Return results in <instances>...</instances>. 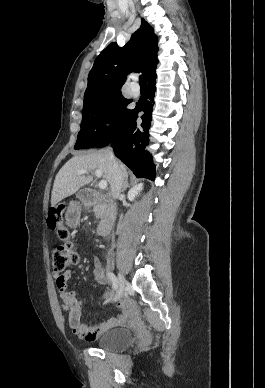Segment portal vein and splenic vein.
Here are the masks:
<instances>
[{"label":"portal vein and splenic vein","mask_w":265,"mask_h":388,"mask_svg":"<svg viewBox=\"0 0 265 388\" xmlns=\"http://www.w3.org/2000/svg\"><path fill=\"white\" fill-rule=\"evenodd\" d=\"M81 174H87V170H78L77 176H81ZM95 176H97V178H101L102 170H95ZM107 186H108V184H107L106 180H101V182L99 184V188H101V190H105V188H107Z\"/></svg>","instance_id":"portal-vein-and-splenic-vein-1"}]
</instances>
